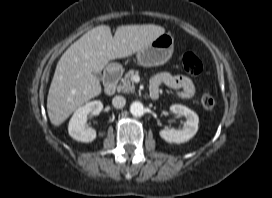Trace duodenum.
<instances>
[{"label": "duodenum", "instance_id": "410a0bca", "mask_svg": "<svg viewBox=\"0 0 272 198\" xmlns=\"http://www.w3.org/2000/svg\"><path fill=\"white\" fill-rule=\"evenodd\" d=\"M122 76V69L120 67L109 68L105 73L104 92L107 95L115 93L117 84Z\"/></svg>", "mask_w": 272, "mask_h": 198}]
</instances>
